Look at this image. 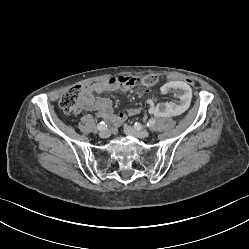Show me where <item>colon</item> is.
Returning <instances> with one entry per match:
<instances>
[{
  "label": "colon",
  "instance_id": "obj_1",
  "mask_svg": "<svg viewBox=\"0 0 249 249\" xmlns=\"http://www.w3.org/2000/svg\"><path fill=\"white\" fill-rule=\"evenodd\" d=\"M157 79L154 76H139L138 82L147 87H153ZM147 87H136L135 96L141 97L148 94ZM84 99V92L81 86H73L67 89L60 98L61 108L69 114H77L80 112L82 102Z\"/></svg>",
  "mask_w": 249,
  "mask_h": 249
}]
</instances>
